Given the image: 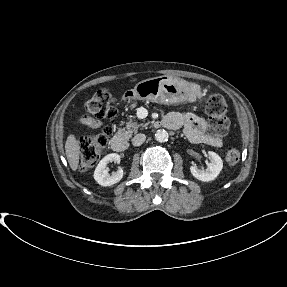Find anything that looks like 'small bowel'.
<instances>
[{"label":"small bowel","instance_id":"obj_1","mask_svg":"<svg viewBox=\"0 0 287 287\" xmlns=\"http://www.w3.org/2000/svg\"><path fill=\"white\" fill-rule=\"evenodd\" d=\"M164 120L170 122V129L183 128L186 136L193 143L206 144L212 147L222 146L223 139L221 137H213L207 134V123L200 116L192 113L171 112L166 115ZM78 122L91 128L100 125L99 122L86 117L79 119Z\"/></svg>","mask_w":287,"mask_h":287}]
</instances>
